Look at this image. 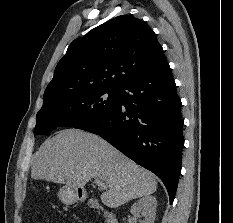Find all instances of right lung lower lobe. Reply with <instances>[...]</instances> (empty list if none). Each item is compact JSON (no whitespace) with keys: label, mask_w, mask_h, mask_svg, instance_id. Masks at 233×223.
Returning <instances> with one entry per match:
<instances>
[{"label":"right lung lower lobe","mask_w":233,"mask_h":223,"mask_svg":"<svg viewBox=\"0 0 233 223\" xmlns=\"http://www.w3.org/2000/svg\"><path fill=\"white\" fill-rule=\"evenodd\" d=\"M181 101L170 66L120 88L117 107L78 129L100 135L165 184L172 203L182 162Z\"/></svg>","instance_id":"1"}]
</instances>
